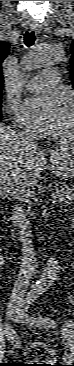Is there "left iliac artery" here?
Segmentation results:
<instances>
[{"label":"left iliac artery","mask_w":74,"mask_h":366,"mask_svg":"<svg viewBox=\"0 0 74 366\" xmlns=\"http://www.w3.org/2000/svg\"><path fill=\"white\" fill-rule=\"evenodd\" d=\"M32 301H33V299H30L27 301V304L24 307L26 312L29 308V304H31ZM26 317H27V321L31 325H35L37 327H46V328H55L56 327V322L53 319H50L48 317H41V318H35L32 316H26Z\"/></svg>","instance_id":"obj_1"}]
</instances>
